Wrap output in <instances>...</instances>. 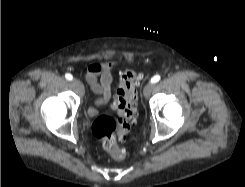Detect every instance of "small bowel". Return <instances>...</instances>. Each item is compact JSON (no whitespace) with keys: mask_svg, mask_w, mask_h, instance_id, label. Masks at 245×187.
I'll use <instances>...</instances> for the list:
<instances>
[{"mask_svg":"<svg viewBox=\"0 0 245 187\" xmlns=\"http://www.w3.org/2000/svg\"><path fill=\"white\" fill-rule=\"evenodd\" d=\"M113 65L110 62L93 63L87 69V81L96 95L94 104L89 107L90 116L97 114L98 107L106 105L111 98Z\"/></svg>","mask_w":245,"mask_h":187,"instance_id":"1","label":"small bowel"}]
</instances>
